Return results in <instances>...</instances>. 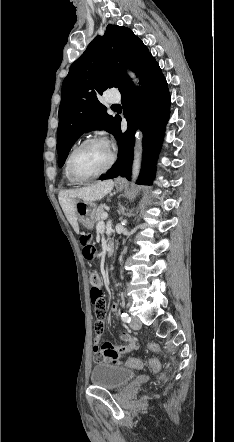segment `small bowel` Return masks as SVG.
<instances>
[{
    "mask_svg": "<svg viewBox=\"0 0 234 442\" xmlns=\"http://www.w3.org/2000/svg\"><path fill=\"white\" fill-rule=\"evenodd\" d=\"M99 289H101V281L99 279L98 284L96 285ZM109 309L111 311H116L118 309V303L113 302L110 304ZM108 316L106 314H99L97 319L94 320V331L95 336L93 337V342L95 343L93 346V353L95 356V360L97 361L96 367L99 370H111L114 367H117V364L120 363V360L125 355H130L132 350L139 348V343L134 342L135 338L132 335L123 334L120 336V340L128 343L127 347H115L110 343H104L100 345L99 343L102 341L104 337L105 328L108 325ZM128 363L126 360L125 364Z\"/></svg>",
    "mask_w": 234,
    "mask_h": 442,
    "instance_id": "small-bowel-1",
    "label": "small bowel"
}]
</instances>
